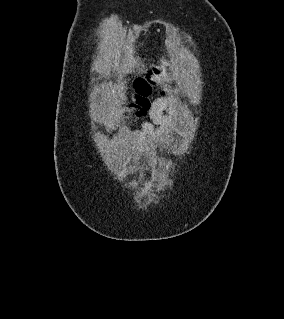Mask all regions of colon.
Returning a JSON list of instances; mask_svg holds the SVG:
<instances>
[{
    "label": "colon",
    "instance_id": "colon-1",
    "mask_svg": "<svg viewBox=\"0 0 284 319\" xmlns=\"http://www.w3.org/2000/svg\"><path fill=\"white\" fill-rule=\"evenodd\" d=\"M153 74H158V71L154 69L146 77L138 78L134 83L135 95L129 104V109L135 118L142 117L150 107V98L155 85L151 78Z\"/></svg>",
    "mask_w": 284,
    "mask_h": 319
}]
</instances>
